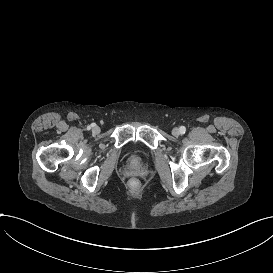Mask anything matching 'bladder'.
<instances>
[{
	"instance_id": "31cf9c89",
	"label": "bladder",
	"mask_w": 273,
	"mask_h": 273,
	"mask_svg": "<svg viewBox=\"0 0 273 273\" xmlns=\"http://www.w3.org/2000/svg\"><path fill=\"white\" fill-rule=\"evenodd\" d=\"M145 157L139 151L130 149L128 151V160L133 165H140L143 163Z\"/></svg>"
}]
</instances>
